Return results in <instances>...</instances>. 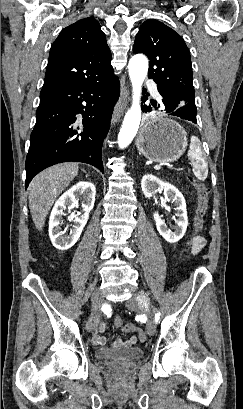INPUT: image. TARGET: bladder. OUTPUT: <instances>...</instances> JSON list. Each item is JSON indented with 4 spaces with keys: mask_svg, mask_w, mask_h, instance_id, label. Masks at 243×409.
<instances>
[{
    "mask_svg": "<svg viewBox=\"0 0 243 409\" xmlns=\"http://www.w3.org/2000/svg\"><path fill=\"white\" fill-rule=\"evenodd\" d=\"M144 354L143 349L139 347L132 348H109L101 347L96 349L95 356L98 359H116L121 361H133L140 359Z\"/></svg>",
    "mask_w": 243,
    "mask_h": 409,
    "instance_id": "1",
    "label": "bladder"
}]
</instances>
